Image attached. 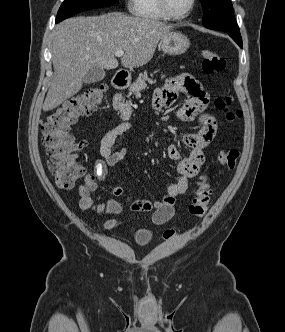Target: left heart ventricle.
Returning <instances> with one entry per match:
<instances>
[{
	"label": "left heart ventricle",
	"instance_id": "1",
	"mask_svg": "<svg viewBox=\"0 0 285 332\" xmlns=\"http://www.w3.org/2000/svg\"><path fill=\"white\" fill-rule=\"evenodd\" d=\"M171 10L178 15L184 14L190 7L191 0H168Z\"/></svg>",
	"mask_w": 285,
	"mask_h": 332
}]
</instances>
